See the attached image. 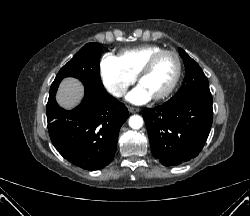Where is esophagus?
Returning <instances> with one entry per match:
<instances>
[{
  "instance_id": "1",
  "label": "esophagus",
  "mask_w": 250,
  "mask_h": 216,
  "mask_svg": "<svg viewBox=\"0 0 250 216\" xmlns=\"http://www.w3.org/2000/svg\"><path fill=\"white\" fill-rule=\"evenodd\" d=\"M128 110H129L130 113H136V112L140 111L138 108L131 107V106H128Z\"/></svg>"
}]
</instances>
